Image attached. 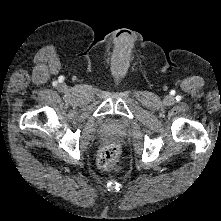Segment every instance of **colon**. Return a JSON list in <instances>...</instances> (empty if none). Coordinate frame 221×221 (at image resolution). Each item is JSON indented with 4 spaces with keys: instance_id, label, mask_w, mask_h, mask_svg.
Returning <instances> with one entry per match:
<instances>
[{
    "instance_id": "5ec220e1",
    "label": "colon",
    "mask_w": 221,
    "mask_h": 221,
    "mask_svg": "<svg viewBox=\"0 0 221 221\" xmlns=\"http://www.w3.org/2000/svg\"><path fill=\"white\" fill-rule=\"evenodd\" d=\"M119 155L120 149L118 145L111 144L105 146L98 155V166L106 171L116 169L118 165Z\"/></svg>"
}]
</instances>
